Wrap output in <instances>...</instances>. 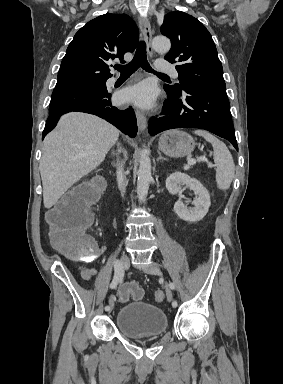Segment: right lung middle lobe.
I'll return each instance as SVG.
<instances>
[{"mask_svg": "<svg viewBox=\"0 0 283 384\" xmlns=\"http://www.w3.org/2000/svg\"><path fill=\"white\" fill-rule=\"evenodd\" d=\"M106 82H99L76 87L54 89L50 108L56 109L69 106L80 101L108 96Z\"/></svg>", "mask_w": 283, "mask_h": 384, "instance_id": "obj_1", "label": "right lung middle lobe"}]
</instances>
